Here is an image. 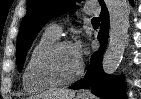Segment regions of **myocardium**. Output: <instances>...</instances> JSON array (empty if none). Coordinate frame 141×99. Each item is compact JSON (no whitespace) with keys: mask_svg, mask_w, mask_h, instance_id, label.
<instances>
[{"mask_svg":"<svg viewBox=\"0 0 141 99\" xmlns=\"http://www.w3.org/2000/svg\"><path fill=\"white\" fill-rule=\"evenodd\" d=\"M64 46H72V44L68 41H55L49 46H47L37 57L34 67H33V74L37 81L40 83L52 86V87H59V86H66L69 85L76 80H78L84 71L83 63H80L78 71L71 77L67 79H59L56 78L51 74L48 70L47 64L53 54L58 51L60 48Z\"/></svg>","mask_w":141,"mask_h":99,"instance_id":"1","label":"myocardium"}]
</instances>
